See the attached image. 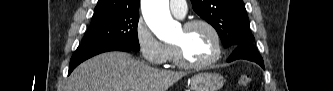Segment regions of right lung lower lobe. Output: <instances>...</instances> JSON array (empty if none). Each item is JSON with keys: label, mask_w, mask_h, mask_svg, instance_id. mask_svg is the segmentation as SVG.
<instances>
[{"label": "right lung lower lobe", "mask_w": 333, "mask_h": 91, "mask_svg": "<svg viewBox=\"0 0 333 91\" xmlns=\"http://www.w3.org/2000/svg\"><path fill=\"white\" fill-rule=\"evenodd\" d=\"M108 51L129 52L133 50H131L126 46L117 45V44H102L94 46L80 45L71 58L68 74H70L77 65H79L81 62L85 61L86 59Z\"/></svg>", "instance_id": "1"}]
</instances>
